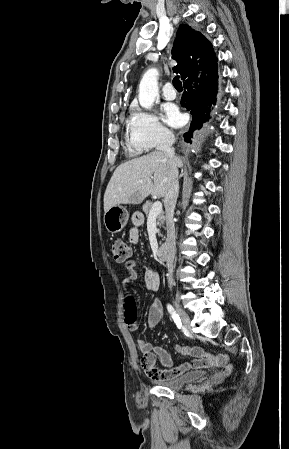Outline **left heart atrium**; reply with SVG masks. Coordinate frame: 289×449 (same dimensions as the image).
Returning a JSON list of instances; mask_svg holds the SVG:
<instances>
[{
    "mask_svg": "<svg viewBox=\"0 0 289 449\" xmlns=\"http://www.w3.org/2000/svg\"><path fill=\"white\" fill-rule=\"evenodd\" d=\"M164 121L172 127H180L183 122V115L179 111L178 107L174 104H166L163 107Z\"/></svg>",
    "mask_w": 289,
    "mask_h": 449,
    "instance_id": "39dd6f15",
    "label": "left heart atrium"
}]
</instances>
